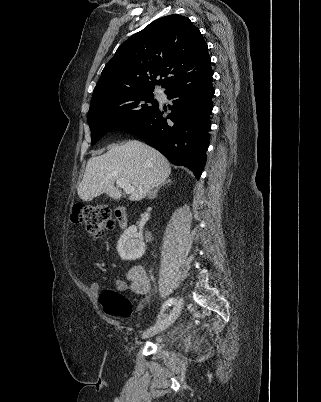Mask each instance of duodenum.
<instances>
[{
    "label": "duodenum",
    "instance_id": "1",
    "mask_svg": "<svg viewBox=\"0 0 321 402\" xmlns=\"http://www.w3.org/2000/svg\"><path fill=\"white\" fill-rule=\"evenodd\" d=\"M115 217L122 228H124L127 225L128 215L125 209L116 210Z\"/></svg>",
    "mask_w": 321,
    "mask_h": 402
}]
</instances>
